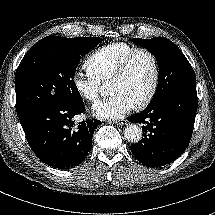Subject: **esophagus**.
Masks as SVG:
<instances>
[{
	"instance_id": "obj_1",
	"label": "esophagus",
	"mask_w": 215,
	"mask_h": 215,
	"mask_svg": "<svg viewBox=\"0 0 215 215\" xmlns=\"http://www.w3.org/2000/svg\"><path fill=\"white\" fill-rule=\"evenodd\" d=\"M115 123H116L117 125H125V124L127 123V120H124V119H122V120H117Z\"/></svg>"
}]
</instances>
